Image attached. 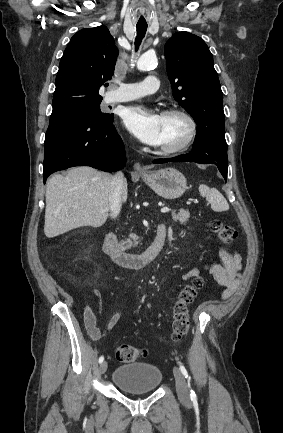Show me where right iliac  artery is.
Here are the masks:
<instances>
[{"label":"right iliac artery","mask_w":283,"mask_h":433,"mask_svg":"<svg viewBox=\"0 0 283 433\" xmlns=\"http://www.w3.org/2000/svg\"><path fill=\"white\" fill-rule=\"evenodd\" d=\"M103 360H104V357H103V356H101V357L99 358V363H102V362H103Z\"/></svg>","instance_id":"obj_1"}]
</instances>
